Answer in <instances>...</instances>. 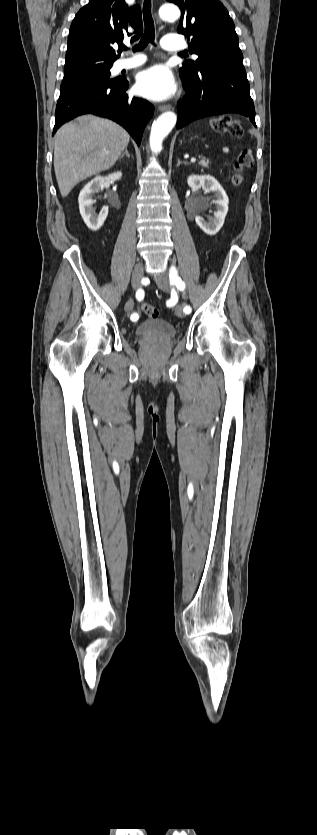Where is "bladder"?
I'll use <instances>...</instances> for the list:
<instances>
[{"label": "bladder", "mask_w": 317, "mask_h": 835, "mask_svg": "<svg viewBox=\"0 0 317 835\" xmlns=\"http://www.w3.org/2000/svg\"><path fill=\"white\" fill-rule=\"evenodd\" d=\"M135 334L142 340L166 342L176 336V329L171 323L164 319L149 318L137 326Z\"/></svg>", "instance_id": "1"}]
</instances>
